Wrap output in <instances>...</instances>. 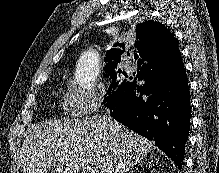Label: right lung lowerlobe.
Returning <instances> with one entry per match:
<instances>
[{
    "label": "right lung lower lobe",
    "mask_w": 219,
    "mask_h": 173,
    "mask_svg": "<svg viewBox=\"0 0 219 173\" xmlns=\"http://www.w3.org/2000/svg\"><path fill=\"white\" fill-rule=\"evenodd\" d=\"M112 117L153 141L181 170L190 128V92L184 64L147 60L108 105Z\"/></svg>",
    "instance_id": "right-lung-lower-lobe-1"
}]
</instances>
